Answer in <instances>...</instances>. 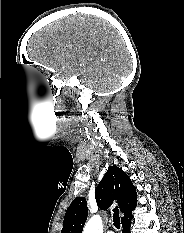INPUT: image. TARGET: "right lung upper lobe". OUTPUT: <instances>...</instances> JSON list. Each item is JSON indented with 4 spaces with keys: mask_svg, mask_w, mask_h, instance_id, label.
Wrapping results in <instances>:
<instances>
[{
    "mask_svg": "<svg viewBox=\"0 0 184 233\" xmlns=\"http://www.w3.org/2000/svg\"><path fill=\"white\" fill-rule=\"evenodd\" d=\"M97 205L107 209L116 200L124 213L122 222L131 217L136 207L137 193L128 175L113 165L105 173L95 191ZM88 216L87 202L84 197L75 198L66 210L61 233H82Z\"/></svg>",
    "mask_w": 184,
    "mask_h": 233,
    "instance_id": "right-lung-upper-lobe-1",
    "label": "right lung upper lobe"
}]
</instances>
